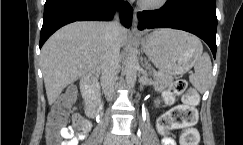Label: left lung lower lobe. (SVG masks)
Instances as JSON below:
<instances>
[{"label": "left lung lower lobe", "mask_w": 243, "mask_h": 145, "mask_svg": "<svg viewBox=\"0 0 243 145\" xmlns=\"http://www.w3.org/2000/svg\"><path fill=\"white\" fill-rule=\"evenodd\" d=\"M138 28L181 29L203 39L216 56L217 17L215 7L195 5L186 0H167L158 10L138 14Z\"/></svg>", "instance_id": "obj_1"}]
</instances>
